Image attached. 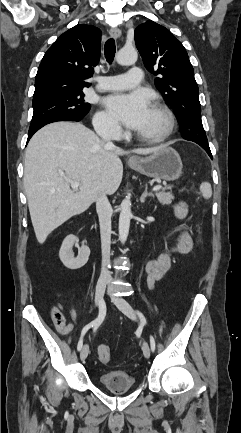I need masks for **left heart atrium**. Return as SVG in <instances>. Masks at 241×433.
<instances>
[{
    "mask_svg": "<svg viewBox=\"0 0 241 433\" xmlns=\"http://www.w3.org/2000/svg\"><path fill=\"white\" fill-rule=\"evenodd\" d=\"M108 112L126 127L139 130L146 122L151 105L148 97L141 93H117L105 99Z\"/></svg>",
    "mask_w": 241,
    "mask_h": 433,
    "instance_id": "obj_1",
    "label": "left heart atrium"
}]
</instances>
